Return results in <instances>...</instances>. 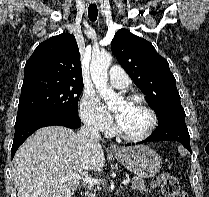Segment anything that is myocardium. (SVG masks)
<instances>
[{
  "label": "myocardium",
  "mask_w": 209,
  "mask_h": 197,
  "mask_svg": "<svg viewBox=\"0 0 209 197\" xmlns=\"http://www.w3.org/2000/svg\"><path fill=\"white\" fill-rule=\"evenodd\" d=\"M127 100L130 102H139L144 106V108L149 113L150 124L143 133H141L139 135H130V134H127L125 131H123L122 128L120 127L119 123L117 122L116 132L121 138H123L129 142H140V141L146 140L147 138H149L152 135V133L154 132V130L157 127V123H158L157 114H156L155 110L147 102V100L141 95H138V94L130 95L127 97Z\"/></svg>",
  "instance_id": "obj_1"
}]
</instances>
